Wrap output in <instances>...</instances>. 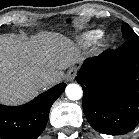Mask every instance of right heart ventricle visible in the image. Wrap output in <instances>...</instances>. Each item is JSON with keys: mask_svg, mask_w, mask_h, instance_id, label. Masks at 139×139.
Returning a JSON list of instances; mask_svg holds the SVG:
<instances>
[{"mask_svg": "<svg viewBox=\"0 0 139 139\" xmlns=\"http://www.w3.org/2000/svg\"><path fill=\"white\" fill-rule=\"evenodd\" d=\"M102 36V31L101 30H91L86 32L82 36V42L85 45H92L96 43Z\"/></svg>", "mask_w": 139, "mask_h": 139, "instance_id": "obj_1", "label": "right heart ventricle"}]
</instances>
